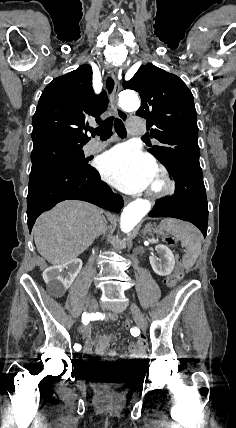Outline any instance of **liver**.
I'll return each mask as SVG.
<instances>
[{
	"instance_id": "6515ba94",
	"label": "liver",
	"mask_w": 236,
	"mask_h": 428,
	"mask_svg": "<svg viewBox=\"0 0 236 428\" xmlns=\"http://www.w3.org/2000/svg\"><path fill=\"white\" fill-rule=\"evenodd\" d=\"M107 230L101 210L66 200L39 216L33 228L35 246L49 264L60 266L85 252Z\"/></svg>"
}]
</instances>
